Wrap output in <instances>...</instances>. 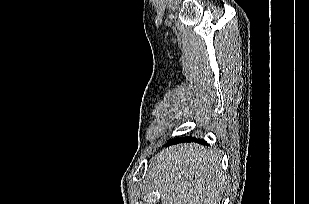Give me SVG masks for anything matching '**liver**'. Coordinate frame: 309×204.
Returning <instances> with one entry per match:
<instances>
[{"mask_svg": "<svg viewBox=\"0 0 309 204\" xmlns=\"http://www.w3.org/2000/svg\"><path fill=\"white\" fill-rule=\"evenodd\" d=\"M148 174L162 204H220L226 185L220 155L199 144L163 149Z\"/></svg>", "mask_w": 309, "mask_h": 204, "instance_id": "obj_1", "label": "liver"}]
</instances>
